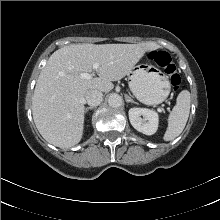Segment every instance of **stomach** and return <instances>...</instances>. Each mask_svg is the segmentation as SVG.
Returning a JSON list of instances; mask_svg holds the SVG:
<instances>
[{
    "instance_id": "stomach-1",
    "label": "stomach",
    "mask_w": 220,
    "mask_h": 220,
    "mask_svg": "<svg viewBox=\"0 0 220 220\" xmlns=\"http://www.w3.org/2000/svg\"><path fill=\"white\" fill-rule=\"evenodd\" d=\"M129 79L130 90L142 103L148 105L160 104L170 94L171 84L168 76L154 66H135Z\"/></svg>"
}]
</instances>
